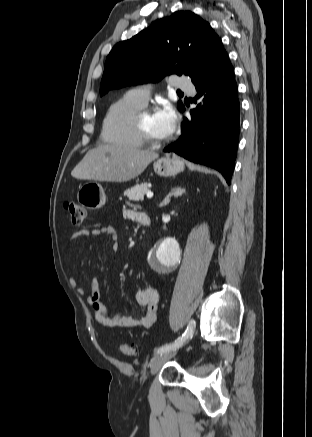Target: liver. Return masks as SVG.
<instances>
[{"label": "liver", "mask_w": 312, "mask_h": 437, "mask_svg": "<svg viewBox=\"0 0 312 437\" xmlns=\"http://www.w3.org/2000/svg\"><path fill=\"white\" fill-rule=\"evenodd\" d=\"M158 156L132 146L103 144L88 151L71 175L83 180L127 182L139 176Z\"/></svg>", "instance_id": "liver-1"}]
</instances>
